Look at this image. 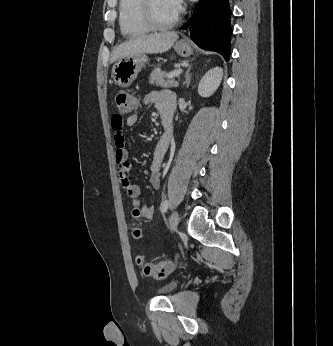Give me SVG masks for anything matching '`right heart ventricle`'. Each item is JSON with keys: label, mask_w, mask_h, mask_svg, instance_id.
Returning <instances> with one entry per match:
<instances>
[{"label": "right heart ventricle", "mask_w": 333, "mask_h": 346, "mask_svg": "<svg viewBox=\"0 0 333 346\" xmlns=\"http://www.w3.org/2000/svg\"><path fill=\"white\" fill-rule=\"evenodd\" d=\"M118 21L121 34L127 38L144 35L150 31L142 10V0H119Z\"/></svg>", "instance_id": "1"}]
</instances>
